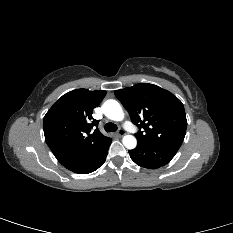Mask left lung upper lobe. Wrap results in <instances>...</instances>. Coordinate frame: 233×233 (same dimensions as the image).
Listing matches in <instances>:
<instances>
[{
  "label": "left lung upper lobe",
  "mask_w": 233,
  "mask_h": 233,
  "mask_svg": "<svg viewBox=\"0 0 233 233\" xmlns=\"http://www.w3.org/2000/svg\"><path fill=\"white\" fill-rule=\"evenodd\" d=\"M131 121L143 129L135 134L138 142L151 145L181 146L187 128L182 102L163 88L139 83L115 91Z\"/></svg>",
  "instance_id": "obj_1"
}]
</instances>
